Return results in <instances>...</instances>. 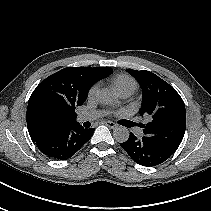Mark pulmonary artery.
I'll return each mask as SVG.
<instances>
[{
    "label": "pulmonary artery",
    "mask_w": 211,
    "mask_h": 211,
    "mask_svg": "<svg viewBox=\"0 0 211 211\" xmlns=\"http://www.w3.org/2000/svg\"><path fill=\"white\" fill-rule=\"evenodd\" d=\"M133 92L131 91H123L120 93V96L122 98H128ZM107 112L105 111H90V112H85L81 113L77 116V121L78 122H85V121H90L94 120L100 116L105 115Z\"/></svg>",
    "instance_id": "obj_1"
}]
</instances>
